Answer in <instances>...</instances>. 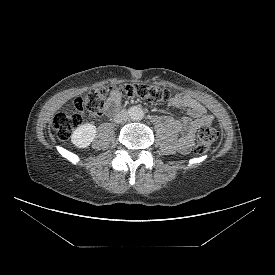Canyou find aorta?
<instances>
[{
  "label": "aorta",
  "instance_id": "1",
  "mask_svg": "<svg viewBox=\"0 0 275 275\" xmlns=\"http://www.w3.org/2000/svg\"><path fill=\"white\" fill-rule=\"evenodd\" d=\"M128 114L132 120L139 121L144 117L143 110L138 106H132L128 110Z\"/></svg>",
  "mask_w": 275,
  "mask_h": 275
}]
</instances>
